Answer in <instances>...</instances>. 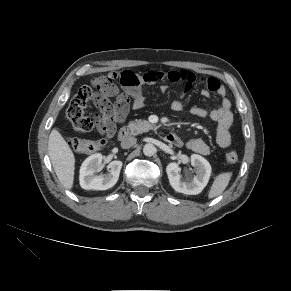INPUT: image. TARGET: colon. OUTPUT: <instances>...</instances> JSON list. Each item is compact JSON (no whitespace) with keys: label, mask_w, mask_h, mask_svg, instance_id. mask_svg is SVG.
Returning <instances> with one entry per match:
<instances>
[{"label":"colon","mask_w":291,"mask_h":291,"mask_svg":"<svg viewBox=\"0 0 291 291\" xmlns=\"http://www.w3.org/2000/svg\"><path fill=\"white\" fill-rule=\"evenodd\" d=\"M211 84L215 85V82L212 81ZM110 86L111 82L103 77L92 86L80 87L74 94L67 109V117L75 132L86 134L95 130L97 121L86 114V107L89 103H93L100 113L107 103L105 93ZM68 143L75 152L81 154L95 152L104 145L103 140H87L77 137L69 138ZM224 161L227 164H234L238 161V154L229 150L224 154Z\"/></svg>","instance_id":"obj_1"}]
</instances>
